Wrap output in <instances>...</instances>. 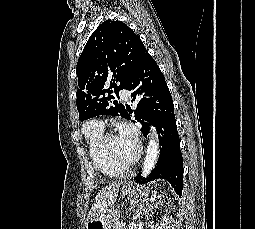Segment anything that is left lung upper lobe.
<instances>
[{
	"label": "left lung upper lobe",
	"instance_id": "5c2ea615",
	"mask_svg": "<svg viewBox=\"0 0 255 229\" xmlns=\"http://www.w3.org/2000/svg\"><path fill=\"white\" fill-rule=\"evenodd\" d=\"M144 51L146 48L139 36L123 22L106 20L97 27L76 67L80 88L76 104L81 120L98 115L126 118L127 110L116 99L118 92L125 89ZM112 100L113 105L110 104Z\"/></svg>",
	"mask_w": 255,
	"mask_h": 229
}]
</instances>
